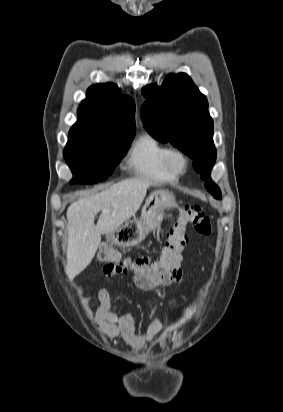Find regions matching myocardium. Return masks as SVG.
<instances>
[{
	"mask_svg": "<svg viewBox=\"0 0 283 412\" xmlns=\"http://www.w3.org/2000/svg\"><path fill=\"white\" fill-rule=\"evenodd\" d=\"M177 158L182 161V166L180 168H177L174 165V160ZM189 166L190 158L184 150L172 147L167 151L165 155V167L172 175L181 176L185 174L188 171Z\"/></svg>",
	"mask_w": 283,
	"mask_h": 412,
	"instance_id": "obj_1",
	"label": "myocardium"
}]
</instances>
